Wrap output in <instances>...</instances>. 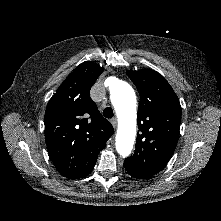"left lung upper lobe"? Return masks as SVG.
Segmentation results:
<instances>
[{"label":"left lung upper lobe","mask_w":221,"mask_h":221,"mask_svg":"<svg viewBox=\"0 0 221 221\" xmlns=\"http://www.w3.org/2000/svg\"><path fill=\"white\" fill-rule=\"evenodd\" d=\"M140 94L134 154L124 161L137 178L155 175L173 155L179 138L181 106L169 83L156 71H126Z\"/></svg>","instance_id":"5c2ea615"}]
</instances>
